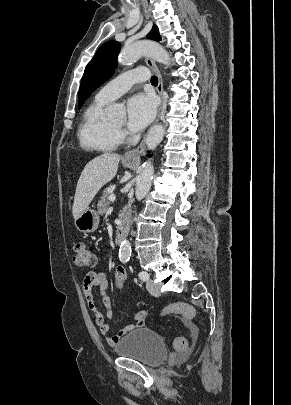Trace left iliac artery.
Wrapping results in <instances>:
<instances>
[{"mask_svg": "<svg viewBox=\"0 0 291 405\" xmlns=\"http://www.w3.org/2000/svg\"><path fill=\"white\" fill-rule=\"evenodd\" d=\"M139 278H140L141 280H143V281H146V280L149 279V274H148L147 272H145V271H141V272L139 273Z\"/></svg>", "mask_w": 291, "mask_h": 405, "instance_id": "1", "label": "left iliac artery"}]
</instances>
